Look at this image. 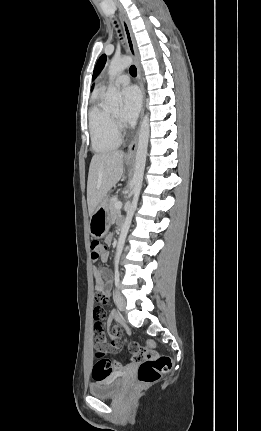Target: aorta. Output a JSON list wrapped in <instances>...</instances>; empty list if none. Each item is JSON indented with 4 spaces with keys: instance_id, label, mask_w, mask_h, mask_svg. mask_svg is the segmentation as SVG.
<instances>
[{
    "instance_id": "1",
    "label": "aorta",
    "mask_w": 261,
    "mask_h": 431,
    "mask_svg": "<svg viewBox=\"0 0 261 431\" xmlns=\"http://www.w3.org/2000/svg\"><path fill=\"white\" fill-rule=\"evenodd\" d=\"M132 64L131 57L125 56L121 58H113L109 64L108 73L110 79H114L116 75L124 71ZM122 103V94L120 90L113 84H110L107 90V104L109 107H118ZM149 139V116L146 114L141 123L138 146L136 151L135 171L133 175V200L127 210L125 222L122 226L121 233L118 239L117 251L115 255V263H119V259L124 247L125 239L130 228L133 214L137 207V202L142 187L147 147Z\"/></svg>"
}]
</instances>
